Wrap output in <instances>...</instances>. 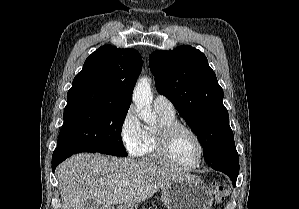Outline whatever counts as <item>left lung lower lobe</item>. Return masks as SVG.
<instances>
[{"label":"left lung lower lobe","instance_id":"left-lung-lower-lobe-1","mask_svg":"<svg viewBox=\"0 0 299 209\" xmlns=\"http://www.w3.org/2000/svg\"><path fill=\"white\" fill-rule=\"evenodd\" d=\"M213 169L227 174L233 186H236V180L239 174V158L235 143L229 144L209 165Z\"/></svg>","mask_w":299,"mask_h":209}]
</instances>
